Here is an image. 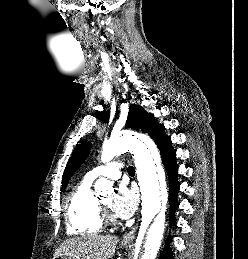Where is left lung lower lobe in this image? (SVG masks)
Instances as JSON below:
<instances>
[{"instance_id":"1","label":"left lung lower lobe","mask_w":248,"mask_h":259,"mask_svg":"<svg viewBox=\"0 0 248 259\" xmlns=\"http://www.w3.org/2000/svg\"><path fill=\"white\" fill-rule=\"evenodd\" d=\"M171 140L165 141L163 144H161L158 148L161 152V157L163 164L167 170L168 176H169V185H170V225L175 224L174 219V211L178 208V201H177V193L179 191V183L177 182V175H178V167L176 165L175 159H176V152L171 147ZM169 242L168 239L166 242V245L164 247V250L159 257V259H173L171 250L169 248Z\"/></svg>"}]
</instances>
